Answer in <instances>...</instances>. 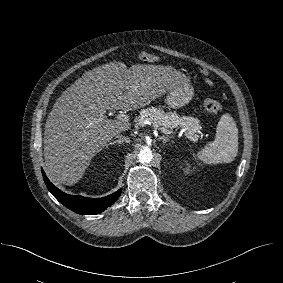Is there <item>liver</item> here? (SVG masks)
Segmentation results:
<instances>
[{
	"mask_svg": "<svg viewBox=\"0 0 283 283\" xmlns=\"http://www.w3.org/2000/svg\"><path fill=\"white\" fill-rule=\"evenodd\" d=\"M185 78L171 67L110 62L82 75L55 102L44 130L49 176L73 185L94 155L131 124L100 118L105 110L133 111L150 104Z\"/></svg>",
	"mask_w": 283,
	"mask_h": 283,
	"instance_id": "6515ba94",
	"label": "liver"
}]
</instances>
